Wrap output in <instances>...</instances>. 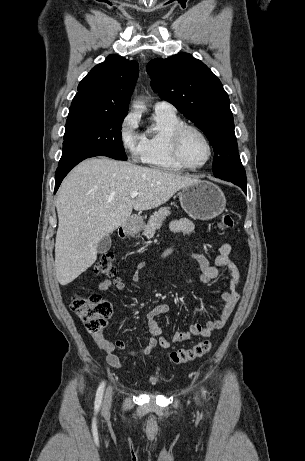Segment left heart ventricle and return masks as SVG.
Segmentation results:
<instances>
[{
  "label": "left heart ventricle",
  "mask_w": 305,
  "mask_h": 461,
  "mask_svg": "<svg viewBox=\"0 0 305 461\" xmlns=\"http://www.w3.org/2000/svg\"><path fill=\"white\" fill-rule=\"evenodd\" d=\"M181 152L185 161L192 166L202 164L208 155L204 141L193 132H187L183 137Z\"/></svg>",
  "instance_id": "b2bd125f"
}]
</instances>
